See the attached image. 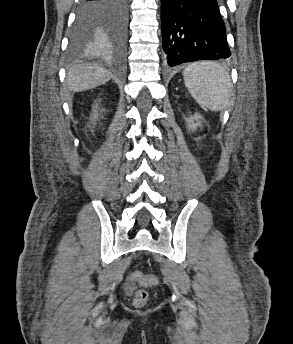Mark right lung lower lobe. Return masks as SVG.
I'll list each match as a JSON object with an SVG mask.
<instances>
[{
	"instance_id": "obj_1",
	"label": "right lung lower lobe",
	"mask_w": 293,
	"mask_h": 344,
	"mask_svg": "<svg viewBox=\"0 0 293 344\" xmlns=\"http://www.w3.org/2000/svg\"><path fill=\"white\" fill-rule=\"evenodd\" d=\"M80 7L101 16H116V20L104 22L97 34V42L103 45V43L109 44L110 41L109 45L113 49L123 48L127 30V0H81Z\"/></svg>"
}]
</instances>
